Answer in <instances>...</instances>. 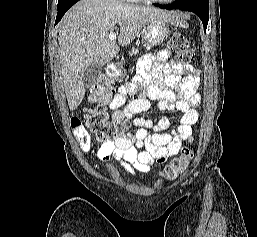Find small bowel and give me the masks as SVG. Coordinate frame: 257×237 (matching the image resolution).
<instances>
[{
	"label": "small bowel",
	"mask_w": 257,
	"mask_h": 237,
	"mask_svg": "<svg viewBox=\"0 0 257 237\" xmlns=\"http://www.w3.org/2000/svg\"><path fill=\"white\" fill-rule=\"evenodd\" d=\"M185 69L190 73L181 78L180 73ZM199 81V77L192 73V67L171 60L167 49L143 56L137 64L136 75L119 87L110 103L115 121L131 120L139 129L116 141L105 142L98 148L89 144L82 149L91 152L106 165L113 159L117 160L129 174L148 172L154 162L163 163L176 155L191 136L192 127L198 120L196 108L201 102L197 92ZM129 95L137 97L125 105ZM150 99L156 100L158 110H176L180 114L176 127H170L164 117L158 118L155 124L151 120L135 117L151 108ZM123 105L125 107L121 109Z\"/></svg>",
	"instance_id": "small-bowel-1"
}]
</instances>
